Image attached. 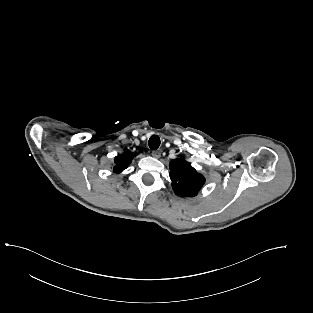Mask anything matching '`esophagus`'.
<instances>
[{"instance_id":"1","label":"esophagus","mask_w":313,"mask_h":313,"mask_svg":"<svg viewBox=\"0 0 313 313\" xmlns=\"http://www.w3.org/2000/svg\"><path fill=\"white\" fill-rule=\"evenodd\" d=\"M152 156L155 158H159L161 156V150L152 151Z\"/></svg>"}]
</instances>
